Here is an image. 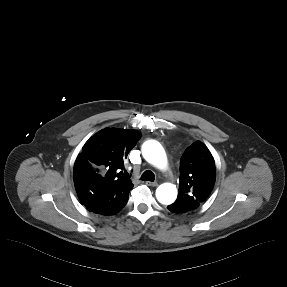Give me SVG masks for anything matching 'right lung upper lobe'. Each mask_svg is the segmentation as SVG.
Returning <instances> with one entry per match:
<instances>
[{"label":"right lung upper lobe","mask_w":287,"mask_h":287,"mask_svg":"<svg viewBox=\"0 0 287 287\" xmlns=\"http://www.w3.org/2000/svg\"><path fill=\"white\" fill-rule=\"evenodd\" d=\"M141 134L136 130L105 128L83 146L74 164V185L81 203L92 188L122 184L133 187L123 173L124 160Z\"/></svg>","instance_id":"obj_1"}]
</instances>
